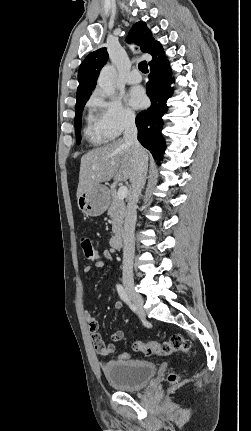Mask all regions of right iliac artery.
Masks as SVG:
<instances>
[{"instance_id": "right-iliac-artery-1", "label": "right iliac artery", "mask_w": 251, "mask_h": 431, "mask_svg": "<svg viewBox=\"0 0 251 431\" xmlns=\"http://www.w3.org/2000/svg\"><path fill=\"white\" fill-rule=\"evenodd\" d=\"M117 288V292L120 296V298L127 304L129 305L130 308H133L134 305L131 302V299L129 297V295L127 294V292L125 291V289L123 288V286L121 284H117L116 286Z\"/></svg>"}]
</instances>
